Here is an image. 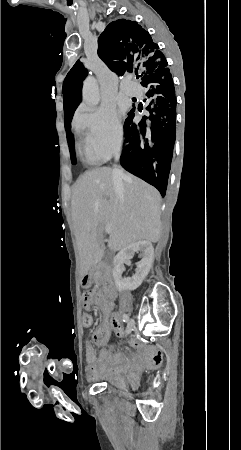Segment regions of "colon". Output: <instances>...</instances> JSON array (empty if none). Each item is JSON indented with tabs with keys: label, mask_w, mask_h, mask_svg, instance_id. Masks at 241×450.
<instances>
[{
	"label": "colon",
	"mask_w": 241,
	"mask_h": 450,
	"mask_svg": "<svg viewBox=\"0 0 241 450\" xmlns=\"http://www.w3.org/2000/svg\"><path fill=\"white\" fill-rule=\"evenodd\" d=\"M79 323L84 325V328L91 329L93 328V315L87 313L79 314Z\"/></svg>",
	"instance_id": "5ec220e1"
}]
</instances>
